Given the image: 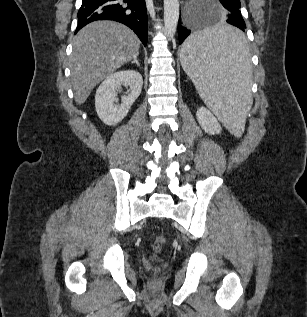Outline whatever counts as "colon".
I'll list each match as a JSON object with an SVG mask.
<instances>
[{
  "label": "colon",
  "mask_w": 307,
  "mask_h": 317,
  "mask_svg": "<svg viewBox=\"0 0 307 317\" xmlns=\"http://www.w3.org/2000/svg\"><path fill=\"white\" fill-rule=\"evenodd\" d=\"M162 246H163V241L161 239H158L155 241L153 248L156 252H158L162 249Z\"/></svg>",
  "instance_id": "colon-1"
}]
</instances>
